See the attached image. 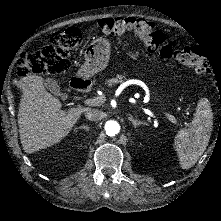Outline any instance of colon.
<instances>
[{
  "label": "colon",
  "instance_id": "1",
  "mask_svg": "<svg viewBox=\"0 0 221 221\" xmlns=\"http://www.w3.org/2000/svg\"><path fill=\"white\" fill-rule=\"evenodd\" d=\"M97 29L106 35L131 32L136 39L144 43L148 51L159 52L163 57L192 66L199 74L210 72V62L199 50L191 47H175V44L166 40L164 33L151 21L134 17L104 18L98 22ZM82 41L81 31L75 28L56 32L50 38V46L19 57L16 74L20 77L31 75L45 77L53 73H61L69 65L68 57L74 54Z\"/></svg>",
  "mask_w": 221,
  "mask_h": 221
}]
</instances>
